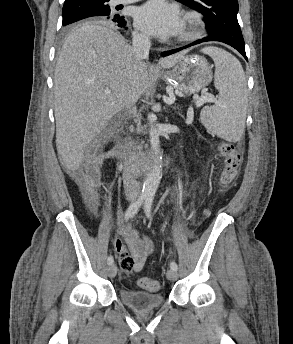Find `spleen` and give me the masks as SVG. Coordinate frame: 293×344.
<instances>
[{
  "mask_svg": "<svg viewBox=\"0 0 293 344\" xmlns=\"http://www.w3.org/2000/svg\"><path fill=\"white\" fill-rule=\"evenodd\" d=\"M202 52L215 63L214 85L218 100L202 109V124L212 133L230 141H238L245 128L247 88L245 73L236 57L218 47H206Z\"/></svg>",
  "mask_w": 293,
  "mask_h": 344,
  "instance_id": "obj_1",
  "label": "spleen"
}]
</instances>
